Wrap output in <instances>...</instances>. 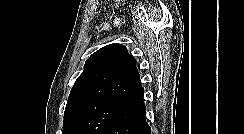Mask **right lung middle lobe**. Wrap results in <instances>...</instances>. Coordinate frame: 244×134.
<instances>
[{
  "instance_id": "1",
  "label": "right lung middle lobe",
  "mask_w": 244,
  "mask_h": 134,
  "mask_svg": "<svg viewBox=\"0 0 244 134\" xmlns=\"http://www.w3.org/2000/svg\"><path fill=\"white\" fill-rule=\"evenodd\" d=\"M132 102L102 98L78 104L64 117L62 134H103Z\"/></svg>"
}]
</instances>
